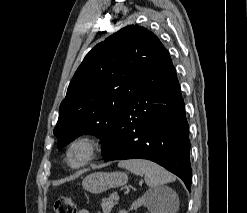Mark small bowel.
<instances>
[{"label":"small bowel","mask_w":247,"mask_h":213,"mask_svg":"<svg viewBox=\"0 0 247 213\" xmlns=\"http://www.w3.org/2000/svg\"><path fill=\"white\" fill-rule=\"evenodd\" d=\"M77 213H90V212L86 209H81Z\"/></svg>","instance_id":"1"}]
</instances>
